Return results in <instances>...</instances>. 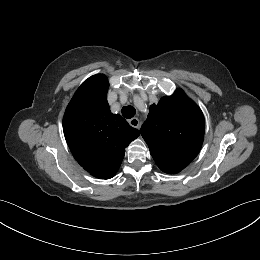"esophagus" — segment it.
Instances as JSON below:
<instances>
[{"instance_id": "obj_1", "label": "esophagus", "mask_w": 260, "mask_h": 260, "mask_svg": "<svg viewBox=\"0 0 260 260\" xmlns=\"http://www.w3.org/2000/svg\"><path fill=\"white\" fill-rule=\"evenodd\" d=\"M128 123H129L132 127H134V128H139V127H140V121H139V119H137V118L129 119V120H128Z\"/></svg>"}]
</instances>
